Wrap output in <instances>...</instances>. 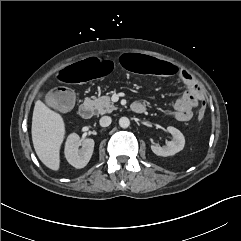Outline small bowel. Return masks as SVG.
Here are the masks:
<instances>
[{"label":"small bowel","mask_w":241,"mask_h":241,"mask_svg":"<svg viewBox=\"0 0 241 241\" xmlns=\"http://www.w3.org/2000/svg\"><path fill=\"white\" fill-rule=\"evenodd\" d=\"M178 77L187 86V90L175 101L174 116L179 122H187L193 116V108L203 101L204 91L189 71L180 69Z\"/></svg>","instance_id":"1"}]
</instances>
